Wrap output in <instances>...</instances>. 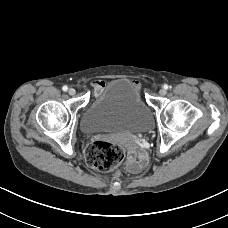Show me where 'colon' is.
Masks as SVG:
<instances>
[{
  "label": "colon",
  "mask_w": 228,
  "mask_h": 228,
  "mask_svg": "<svg viewBox=\"0 0 228 228\" xmlns=\"http://www.w3.org/2000/svg\"><path fill=\"white\" fill-rule=\"evenodd\" d=\"M124 157L123 147L110 141H95L85 153L87 165L100 171L114 169L123 161Z\"/></svg>",
  "instance_id": "1"
}]
</instances>
